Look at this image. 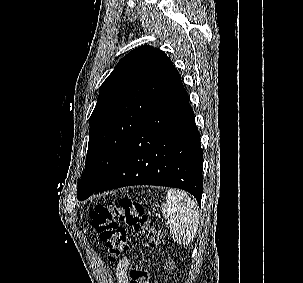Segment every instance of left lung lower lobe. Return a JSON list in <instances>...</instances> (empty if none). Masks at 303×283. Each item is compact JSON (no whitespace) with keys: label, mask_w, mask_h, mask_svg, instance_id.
Returning a JSON list of instances; mask_svg holds the SVG:
<instances>
[{"label":"left lung lower lobe","mask_w":303,"mask_h":283,"mask_svg":"<svg viewBox=\"0 0 303 283\" xmlns=\"http://www.w3.org/2000/svg\"><path fill=\"white\" fill-rule=\"evenodd\" d=\"M200 133L179 72L172 66L110 177L93 193L131 185L176 187L201 203Z\"/></svg>","instance_id":"obj_1"}]
</instances>
